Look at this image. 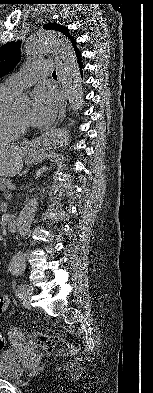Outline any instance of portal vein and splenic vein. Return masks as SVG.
<instances>
[{
    "instance_id": "18ae733b",
    "label": "portal vein and splenic vein",
    "mask_w": 153,
    "mask_h": 393,
    "mask_svg": "<svg viewBox=\"0 0 153 393\" xmlns=\"http://www.w3.org/2000/svg\"><path fill=\"white\" fill-rule=\"evenodd\" d=\"M10 188H13V185ZM7 196H10V194H7Z\"/></svg>"
}]
</instances>
